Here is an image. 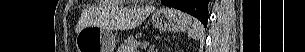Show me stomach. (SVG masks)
I'll use <instances>...</instances> for the list:
<instances>
[{
    "instance_id": "0dacf381",
    "label": "stomach",
    "mask_w": 305,
    "mask_h": 52,
    "mask_svg": "<svg viewBox=\"0 0 305 52\" xmlns=\"http://www.w3.org/2000/svg\"><path fill=\"white\" fill-rule=\"evenodd\" d=\"M152 23L162 32H180L191 25L192 17L172 8H161L152 15ZM76 47L78 52H113L115 37L101 26H87L77 33Z\"/></svg>"
}]
</instances>
